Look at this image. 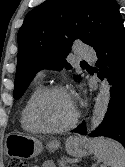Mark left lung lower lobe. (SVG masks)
<instances>
[{"label": "left lung lower lobe", "instance_id": "1", "mask_svg": "<svg viewBox=\"0 0 125 167\" xmlns=\"http://www.w3.org/2000/svg\"><path fill=\"white\" fill-rule=\"evenodd\" d=\"M94 49L100 69L98 77H108L111 98L103 122L89 135L109 137L125 147V30L121 16ZM72 132L87 135L86 123L83 121Z\"/></svg>", "mask_w": 125, "mask_h": 167}]
</instances>
